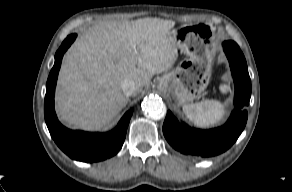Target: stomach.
Returning a JSON list of instances; mask_svg holds the SVG:
<instances>
[{"label":"stomach","mask_w":292,"mask_h":192,"mask_svg":"<svg viewBox=\"0 0 292 192\" xmlns=\"http://www.w3.org/2000/svg\"><path fill=\"white\" fill-rule=\"evenodd\" d=\"M171 33L185 58L160 78L158 90L178 104H187L200 97L209 84L216 52L214 29L195 24Z\"/></svg>","instance_id":"0dacf381"}]
</instances>
